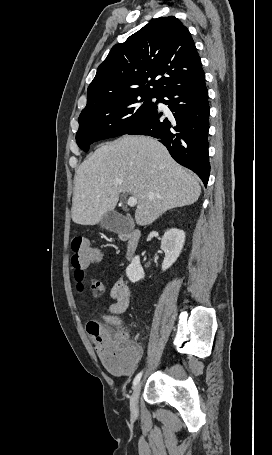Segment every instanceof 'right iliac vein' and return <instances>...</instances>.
<instances>
[{"mask_svg": "<svg viewBox=\"0 0 272 455\" xmlns=\"http://www.w3.org/2000/svg\"><path fill=\"white\" fill-rule=\"evenodd\" d=\"M141 386H142L141 382H138V384L134 388V391H133L131 399H130V408H131V412L133 414L138 413V401H139Z\"/></svg>", "mask_w": 272, "mask_h": 455, "instance_id": "1", "label": "right iliac vein"}]
</instances>
